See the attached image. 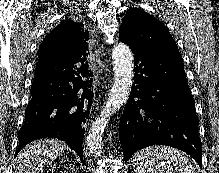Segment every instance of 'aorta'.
<instances>
[{
  "label": "aorta",
  "mask_w": 219,
  "mask_h": 173,
  "mask_svg": "<svg viewBox=\"0 0 219 173\" xmlns=\"http://www.w3.org/2000/svg\"><path fill=\"white\" fill-rule=\"evenodd\" d=\"M114 82L105 106L95 118L85 143L90 153L98 158L102 153V135L109 118L128 100L133 83V54L126 44H118L112 52Z\"/></svg>",
  "instance_id": "762f6f07"
}]
</instances>
